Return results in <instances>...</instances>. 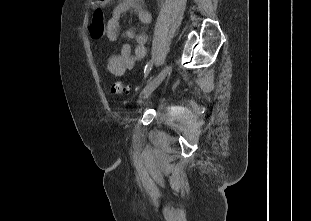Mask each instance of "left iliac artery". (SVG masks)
<instances>
[{"label": "left iliac artery", "instance_id": "44dca946", "mask_svg": "<svg viewBox=\"0 0 311 221\" xmlns=\"http://www.w3.org/2000/svg\"><path fill=\"white\" fill-rule=\"evenodd\" d=\"M152 65H153V62L152 61H149L146 66H145V69H144V76L146 77L149 72L151 71L152 69Z\"/></svg>", "mask_w": 311, "mask_h": 221}]
</instances>
